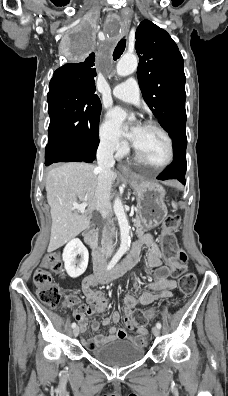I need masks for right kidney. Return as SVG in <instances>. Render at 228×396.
Returning a JSON list of instances; mask_svg holds the SVG:
<instances>
[{
	"label": "right kidney",
	"mask_w": 228,
	"mask_h": 396,
	"mask_svg": "<svg viewBox=\"0 0 228 396\" xmlns=\"http://www.w3.org/2000/svg\"><path fill=\"white\" fill-rule=\"evenodd\" d=\"M80 255V260H77ZM89 253L87 248L78 238L68 242L63 250L64 267L71 278H77L82 275L88 266Z\"/></svg>",
	"instance_id": "1"
}]
</instances>
